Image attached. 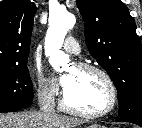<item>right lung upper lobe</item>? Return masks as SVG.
<instances>
[{
  "label": "right lung upper lobe",
  "mask_w": 142,
  "mask_h": 128,
  "mask_svg": "<svg viewBox=\"0 0 142 128\" xmlns=\"http://www.w3.org/2000/svg\"><path fill=\"white\" fill-rule=\"evenodd\" d=\"M35 11L30 0L0 2V68L27 64Z\"/></svg>",
  "instance_id": "cb5924a9"
}]
</instances>
